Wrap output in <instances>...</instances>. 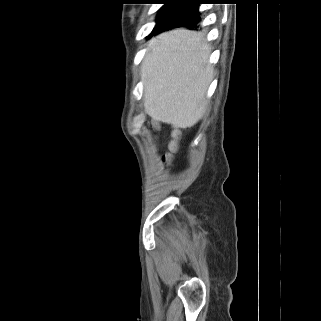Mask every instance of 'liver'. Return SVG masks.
<instances>
[{"instance_id":"obj_1","label":"liver","mask_w":321,"mask_h":321,"mask_svg":"<svg viewBox=\"0 0 321 321\" xmlns=\"http://www.w3.org/2000/svg\"><path fill=\"white\" fill-rule=\"evenodd\" d=\"M141 66L146 112L178 128L194 126L204 115V97L212 81L210 46L204 35L174 29L158 35Z\"/></svg>"}]
</instances>
